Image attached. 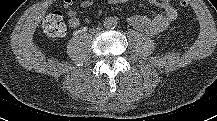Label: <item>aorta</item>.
I'll return each mask as SVG.
<instances>
[{"mask_svg": "<svg viewBox=\"0 0 217 121\" xmlns=\"http://www.w3.org/2000/svg\"><path fill=\"white\" fill-rule=\"evenodd\" d=\"M117 25V20L114 17H107L104 20V27L107 29H113Z\"/></svg>", "mask_w": 217, "mask_h": 121, "instance_id": "aorta-1", "label": "aorta"}]
</instances>
